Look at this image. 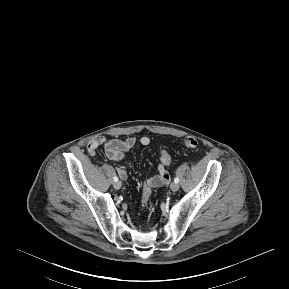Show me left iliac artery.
<instances>
[{
	"label": "left iliac artery",
	"mask_w": 289,
	"mask_h": 289,
	"mask_svg": "<svg viewBox=\"0 0 289 289\" xmlns=\"http://www.w3.org/2000/svg\"><path fill=\"white\" fill-rule=\"evenodd\" d=\"M174 182H175V183H178V182H179V178H178V177H175V178H174Z\"/></svg>",
	"instance_id": "1"
}]
</instances>
